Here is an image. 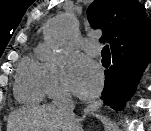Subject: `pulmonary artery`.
<instances>
[{"label": "pulmonary artery", "instance_id": "1", "mask_svg": "<svg viewBox=\"0 0 151 131\" xmlns=\"http://www.w3.org/2000/svg\"><path fill=\"white\" fill-rule=\"evenodd\" d=\"M82 48L93 55H97L99 53L98 48L94 45L92 41L86 40L82 43Z\"/></svg>", "mask_w": 151, "mask_h": 131}]
</instances>
